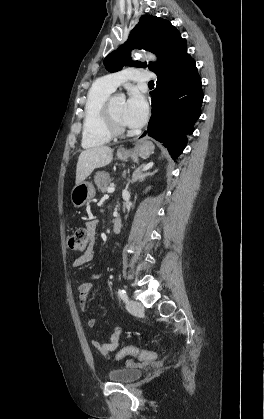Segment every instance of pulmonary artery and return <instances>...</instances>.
<instances>
[{"label":"pulmonary artery","instance_id":"pulmonary-artery-1","mask_svg":"<svg viewBox=\"0 0 264 419\" xmlns=\"http://www.w3.org/2000/svg\"><path fill=\"white\" fill-rule=\"evenodd\" d=\"M154 75L143 69L127 68L119 72L111 73L104 76L101 81L111 90H115L121 83L127 80L140 82L150 81Z\"/></svg>","mask_w":264,"mask_h":419}]
</instances>
